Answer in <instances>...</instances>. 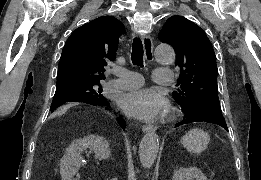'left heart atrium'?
I'll return each mask as SVG.
<instances>
[{
  "mask_svg": "<svg viewBox=\"0 0 261 180\" xmlns=\"http://www.w3.org/2000/svg\"><path fill=\"white\" fill-rule=\"evenodd\" d=\"M167 104L163 93L157 89L140 88L119 95V105L130 116L150 119L160 115Z\"/></svg>",
  "mask_w": 261,
  "mask_h": 180,
  "instance_id": "left-heart-atrium-1",
  "label": "left heart atrium"
}]
</instances>
